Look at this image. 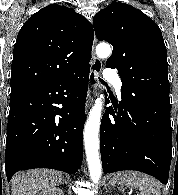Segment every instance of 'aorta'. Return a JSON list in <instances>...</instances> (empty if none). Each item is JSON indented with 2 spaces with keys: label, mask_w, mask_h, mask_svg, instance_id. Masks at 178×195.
<instances>
[{
  "label": "aorta",
  "mask_w": 178,
  "mask_h": 195,
  "mask_svg": "<svg viewBox=\"0 0 178 195\" xmlns=\"http://www.w3.org/2000/svg\"><path fill=\"white\" fill-rule=\"evenodd\" d=\"M111 47L107 43H100L96 47V54L100 58H107L111 55ZM103 95L95 100L94 106L89 112V117L84 128V144L86 157L93 183L97 184L101 177V162L99 159V128L101 121V111L103 106Z\"/></svg>",
  "instance_id": "obj_1"
}]
</instances>
